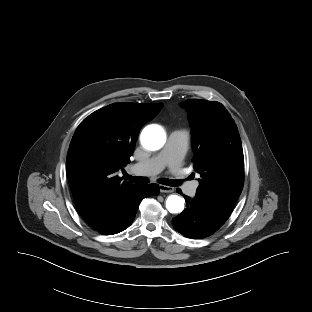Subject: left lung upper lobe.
Returning <instances> with one entry per match:
<instances>
[{
    "instance_id": "obj_1",
    "label": "left lung upper lobe",
    "mask_w": 312,
    "mask_h": 312,
    "mask_svg": "<svg viewBox=\"0 0 312 312\" xmlns=\"http://www.w3.org/2000/svg\"><path fill=\"white\" fill-rule=\"evenodd\" d=\"M180 105L189 113L194 169L201 175L196 196L231 213L244 184V156L237 126L219 102L192 99Z\"/></svg>"
}]
</instances>
